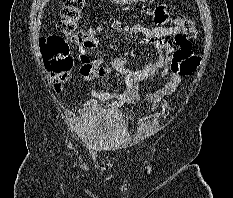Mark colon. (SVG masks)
I'll return each mask as SVG.
<instances>
[{"mask_svg": "<svg viewBox=\"0 0 233 198\" xmlns=\"http://www.w3.org/2000/svg\"><path fill=\"white\" fill-rule=\"evenodd\" d=\"M62 20L57 28L69 41L86 48H92L96 42V29H80L79 20L84 11V0H63ZM175 25L180 27L185 35L195 37L197 34L193 23L185 18H177ZM43 62L48 71L54 88L59 91L70 76L72 59L69 56L67 42L56 35H45L39 41ZM175 70L181 75L192 74L200 64V57L191 52H179L174 58Z\"/></svg>", "mask_w": 233, "mask_h": 198, "instance_id": "colon-1", "label": "colon"}]
</instances>
